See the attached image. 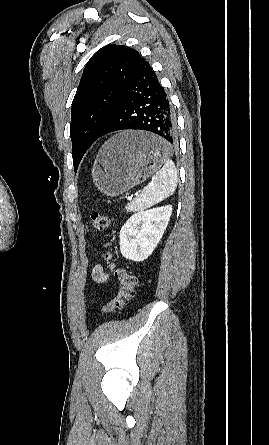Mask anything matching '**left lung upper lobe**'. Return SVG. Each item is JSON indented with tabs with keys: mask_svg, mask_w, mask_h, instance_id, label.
<instances>
[{
	"mask_svg": "<svg viewBox=\"0 0 269 445\" xmlns=\"http://www.w3.org/2000/svg\"><path fill=\"white\" fill-rule=\"evenodd\" d=\"M139 52L110 44L88 61L72 102L70 137L74 170L112 116L137 64Z\"/></svg>",
	"mask_w": 269,
	"mask_h": 445,
	"instance_id": "obj_1",
	"label": "left lung upper lobe"
}]
</instances>
